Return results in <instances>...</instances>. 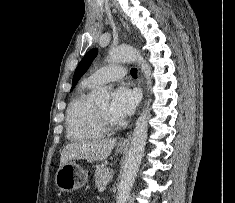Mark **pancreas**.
<instances>
[{
  "label": "pancreas",
  "mask_w": 235,
  "mask_h": 203,
  "mask_svg": "<svg viewBox=\"0 0 235 203\" xmlns=\"http://www.w3.org/2000/svg\"><path fill=\"white\" fill-rule=\"evenodd\" d=\"M113 177V171L107 167L97 168L95 171V185L96 187L107 184Z\"/></svg>",
  "instance_id": "pancreas-1"
}]
</instances>
